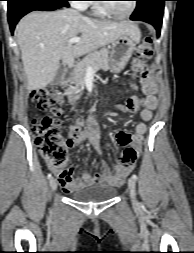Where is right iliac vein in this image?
Listing matches in <instances>:
<instances>
[{
  "instance_id": "right-iliac-vein-1",
  "label": "right iliac vein",
  "mask_w": 194,
  "mask_h": 253,
  "mask_svg": "<svg viewBox=\"0 0 194 253\" xmlns=\"http://www.w3.org/2000/svg\"><path fill=\"white\" fill-rule=\"evenodd\" d=\"M50 187H51V189L53 191H56V189H57V182H56V180L54 178H51V180H50Z\"/></svg>"
}]
</instances>
